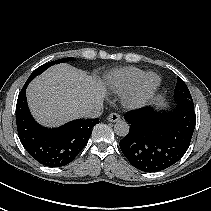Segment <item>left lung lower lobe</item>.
Here are the masks:
<instances>
[{
	"instance_id": "0a47b994",
	"label": "left lung lower lobe",
	"mask_w": 211,
	"mask_h": 211,
	"mask_svg": "<svg viewBox=\"0 0 211 211\" xmlns=\"http://www.w3.org/2000/svg\"><path fill=\"white\" fill-rule=\"evenodd\" d=\"M129 133L120 141L125 157L145 172L164 170L186 153L194 132V107L178 104L172 112L142 108L124 116Z\"/></svg>"
}]
</instances>
